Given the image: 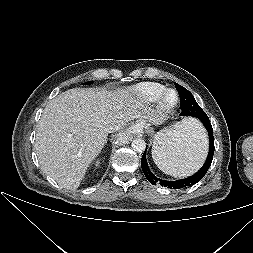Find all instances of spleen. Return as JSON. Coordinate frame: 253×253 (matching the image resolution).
<instances>
[{
    "label": "spleen",
    "instance_id": "spleen-1",
    "mask_svg": "<svg viewBox=\"0 0 253 253\" xmlns=\"http://www.w3.org/2000/svg\"><path fill=\"white\" fill-rule=\"evenodd\" d=\"M208 149L203 126L196 119H185L174 129L159 132L153 142L152 158L158 168L174 177H186L202 166Z\"/></svg>",
    "mask_w": 253,
    "mask_h": 253
}]
</instances>
